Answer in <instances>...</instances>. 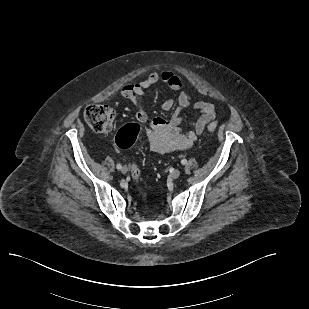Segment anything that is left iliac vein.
I'll return each mask as SVG.
<instances>
[{"label": "left iliac vein", "mask_w": 309, "mask_h": 309, "mask_svg": "<svg viewBox=\"0 0 309 309\" xmlns=\"http://www.w3.org/2000/svg\"><path fill=\"white\" fill-rule=\"evenodd\" d=\"M180 171L179 170H174L173 172H171V174H170V177L173 179V180H175V179H178L179 178V176H180Z\"/></svg>", "instance_id": "left-iliac-vein-1"}]
</instances>
